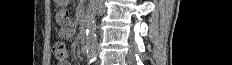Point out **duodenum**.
I'll return each mask as SVG.
<instances>
[{
    "label": "duodenum",
    "instance_id": "1",
    "mask_svg": "<svg viewBox=\"0 0 232 65\" xmlns=\"http://www.w3.org/2000/svg\"><path fill=\"white\" fill-rule=\"evenodd\" d=\"M79 38L82 44L86 42V26L84 24L80 27Z\"/></svg>",
    "mask_w": 232,
    "mask_h": 65
}]
</instances>
